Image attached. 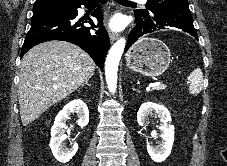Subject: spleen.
<instances>
[{"label":"spleen","mask_w":227,"mask_h":166,"mask_svg":"<svg viewBox=\"0 0 227 166\" xmlns=\"http://www.w3.org/2000/svg\"><path fill=\"white\" fill-rule=\"evenodd\" d=\"M190 94L197 95L203 87V74L201 69L197 68L188 77Z\"/></svg>","instance_id":"3e777b00"}]
</instances>
